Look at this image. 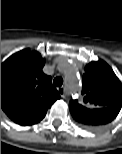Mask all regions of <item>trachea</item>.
Masks as SVG:
<instances>
[{"label": "trachea", "mask_w": 122, "mask_h": 154, "mask_svg": "<svg viewBox=\"0 0 122 154\" xmlns=\"http://www.w3.org/2000/svg\"><path fill=\"white\" fill-rule=\"evenodd\" d=\"M63 84V79L61 77H56L53 80V85L56 87H60Z\"/></svg>", "instance_id": "trachea-1"}]
</instances>
